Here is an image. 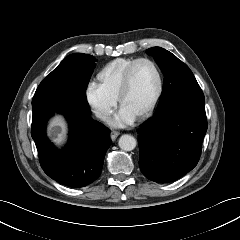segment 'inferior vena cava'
I'll return each mask as SVG.
<instances>
[{"label":"inferior vena cava","instance_id":"1","mask_svg":"<svg viewBox=\"0 0 240 240\" xmlns=\"http://www.w3.org/2000/svg\"><path fill=\"white\" fill-rule=\"evenodd\" d=\"M95 114H96V117H98L102 120H106L109 117V114L104 111H96Z\"/></svg>","mask_w":240,"mask_h":240}]
</instances>
